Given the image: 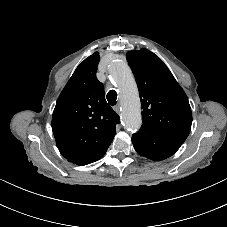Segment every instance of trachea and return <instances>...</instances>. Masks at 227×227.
Returning <instances> with one entry per match:
<instances>
[{
	"label": "trachea",
	"instance_id": "obj_1",
	"mask_svg": "<svg viewBox=\"0 0 227 227\" xmlns=\"http://www.w3.org/2000/svg\"><path fill=\"white\" fill-rule=\"evenodd\" d=\"M107 101L110 105H115L117 103V93L115 90H110L107 94Z\"/></svg>",
	"mask_w": 227,
	"mask_h": 227
}]
</instances>
